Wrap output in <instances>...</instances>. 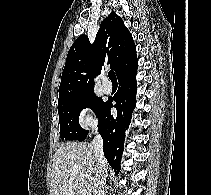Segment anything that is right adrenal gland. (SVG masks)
Segmentation results:
<instances>
[{
    "label": "right adrenal gland",
    "instance_id": "2a0ac1e0",
    "mask_svg": "<svg viewBox=\"0 0 211 195\" xmlns=\"http://www.w3.org/2000/svg\"><path fill=\"white\" fill-rule=\"evenodd\" d=\"M108 189H109V187L107 186V187H106V189H105L104 195H106V194H107Z\"/></svg>",
    "mask_w": 211,
    "mask_h": 195
}]
</instances>
